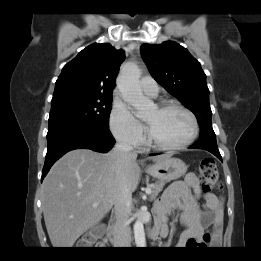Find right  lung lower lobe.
<instances>
[{
	"instance_id": "obj_1",
	"label": "right lung lower lobe",
	"mask_w": 261,
	"mask_h": 261,
	"mask_svg": "<svg viewBox=\"0 0 261 261\" xmlns=\"http://www.w3.org/2000/svg\"><path fill=\"white\" fill-rule=\"evenodd\" d=\"M47 142L48 148L41 180L66 152L86 148L106 153L113 147L115 140L109 128L86 123H68L49 127Z\"/></svg>"
}]
</instances>
